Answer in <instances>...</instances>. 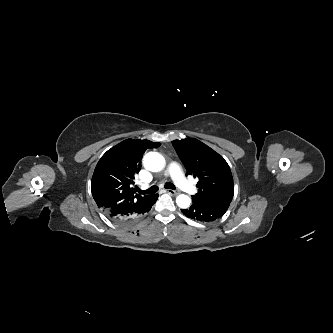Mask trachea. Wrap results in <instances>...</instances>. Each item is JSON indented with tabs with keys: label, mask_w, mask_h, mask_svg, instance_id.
<instances>
[{
	"label": "trachea",
	"mask_w": 333,
	"mask_h": 333,
	"mask_svg": "<svg viewBox=\"0 0 333 333\" xmlns=\"http://www.w3.org/2000/svg\"><path fill=\"white\" fill-rule=\"evenodd\" d=\"M165 188L167 189H172L175 190V185L171 182H168L164 185ZM158 191V187L156 185H153L152 187H150L149 189L143 191L141 189H138V192L140 194H152V193H156Z\"/></svg>",
	"instance_id": "trachea-1"
}]
</instances>
